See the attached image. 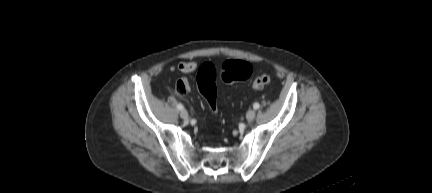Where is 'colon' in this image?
I'll list each match as a JSON object with an SVG mask.
<instances>
[{
	"mask_svg": "<svg viewBox=\"0 0 432 193\" xmlns=\"http://www.w3.org/2000/svg\"><path fill=\"white\" fill-rule=\"evenodd\" d=\"M252 73L251 65L242 60H229L225 62L220 71L222 81L230 83L237 80H244L250 77ZM216 70L213 64L204 63L198 72L197 85L204 96L210 109L216 113L217 111V94H216ZM271 78L268 74L258 75L252 83L254 89H262L269 85ZM183 92L182 88H179Z\"/></svg>",
	"mask_w": 432,
	"mask_h": 193,
	"instance_id": "obj_1",
	"label": "colon"
}]
</instances>
